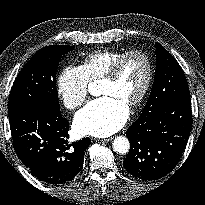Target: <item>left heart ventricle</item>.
<instances>
[{
    "label": "left heart ventricle",
    "mask_w": 205,
    "mask_h": 205,
    "mask_svg": "<svg viewBox=\"0 0 205 205\" xmlns=\"http://www.w3.org/2000/svg\"><path fill=\"white\" fill-rule=\"evenodd\" d=\"M147 75V64L140 56L129 57L114 81L101 82V95L113 96L126 105L140 93Z\"/></svg>",
    "instance_id": "obj_1"
}]
</instances>
